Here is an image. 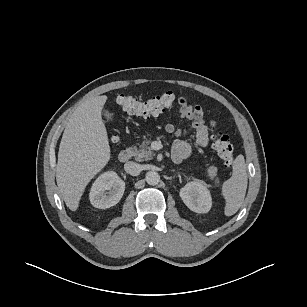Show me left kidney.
<instances>
[{
    "label": "left kidney",
    "mask_w": 307,
    "mask_h": 307,
    "mask_svg": "<svg viewBox=\"0 0 307 307\" xmlns=\"http://www.w3.org/2000/svg\"><path fill=\"white\" fill-rule=\"evenodd\" d=\"M184 204L196 213H207L212 206V198L207 186L198 180L187 183L180 190Z\"/></svg>",
    "instance_id": "obj_1"
}]
</instances>
